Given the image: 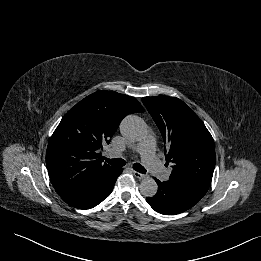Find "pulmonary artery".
I'll return each mask as SVG.
<instances>
[{
  "mask_svg": "<svg viewBox=\"0 0 261 261\" xmlns=\"http://www.w3.org/2000/svg\"><path fill=\"white\" fill-rule=\"evenodd\" d=\"M141 155L142 161L146 168L157 178L168 180L170 172L166 170L156 155V142L152 136L144 138L136 148Z\"/></svg>",
  "mask_w": 261,
  "mask_h": 261,
  "instance_id": "obj_1",
  "label": "pulmonary artery"
}]
</instances>
